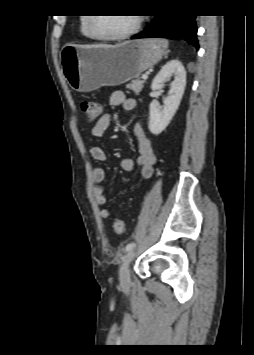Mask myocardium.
<instances>
[{
	"label": "myocardium",
	"instance_id": "myocardium-1",
	"mask_svg": "<svg viewBox=\"0 0 254 355\" xmlns=\"http://www.w3.org/2000/svg\"><path fill=\"white\" fill-rule=\"evenodd\" d=\"M97 21H98L97 17H90L88 20L89 31L95 39L100 41H121L130 38L131 36H133L135 33L138 32L142 23V18L140 15H136L132 27L127 31H125L124 33L118 35L101 34L97 29Z\"/></svg>",
	"mask_w": 254,
	"mask_h": 355
}]
</instances>
